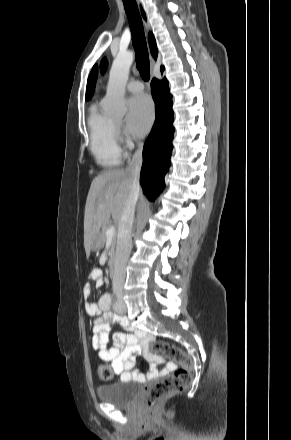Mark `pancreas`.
<instances>
[{
    "label": "pancreas",
    "instance_id": "cf45deb5",
    "mask_svg": "<svg viewBox=\"0 0 291 440\" xmlns=\"http://www.w3.org/2000/svg\"><path fill=\"white\" fill-rule=\"evenodd\" d=\"M109 227H111V223L109 221H106L105 223H103L102 228H101V232L99 234V242H100V244H104L105 243V241H106V230ZM116 242H117V236L115 234L112 237L111 255H113Z\"/></svg>",
    "mask_w": 291,
    "mask_h": 440
}]
</instances>
